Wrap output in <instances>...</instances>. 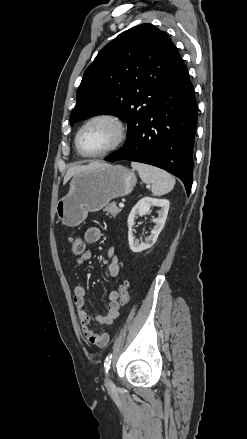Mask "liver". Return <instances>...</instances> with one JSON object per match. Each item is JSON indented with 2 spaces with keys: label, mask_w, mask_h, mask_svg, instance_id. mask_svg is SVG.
<instances>
[{
  "label": "liver",
  "mask_w": 247,
  "mask_h": 439,
  "mask_svg": "<svg viewBox=\"0 0 247 439\" xmlns=\"http://www.w3.org/2000/svg\"><path fill=\"white\" fill-rule=\"evenodd\" d=\"M107 165L108 164L101 162V161H94V162L89 163L88 165H79V166L70 167L68 169L65 177H64L63 184L65 185L68 182V180L74 175H77V174L82 173V172L94 170V169H97L99 167H104Z\"/></svg>",
  "instance_id": "obj_1"
}]
</instances>
